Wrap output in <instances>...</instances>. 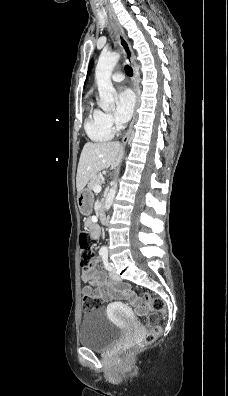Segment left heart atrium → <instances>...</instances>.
Segmentation results:
<instances>
[{"label":"left heart atrium","mask_w":228,"mask_h":396,"mask_svg":"<svg viewBox=\"0 0 228 396\" xmlns=\"http://www.w3.org/2000/svg\"><path fill=\"white\" fill-rule=\"evenodd\" d=\"M135 97L131 90L123 88L119 91L116 102V118L120 122H127L132 116Z\"/></svg>","instance_id":"left-heart-atrium-1"}]
</instances>
